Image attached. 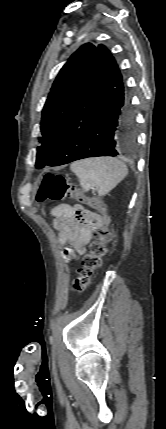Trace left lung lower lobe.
<instances>
[{
	"mask_svg": "<svg viewBox=\"0 0 166 429\" xmlns=\"http://www.w3.org/2000/svg\"><path fill=\"white\" fill-rule=\"evenodd\" d=\"M135 141L130 94L114 57L98 45L91 73L63 135L41 168L88 157L117 156L131 151Z\"/></svg>",
	"mask_w": 166,
	"mask_h": 429,
	"instance_id": "obj_1",
	"label": "left lung lower lobe"
}]
</instances>
